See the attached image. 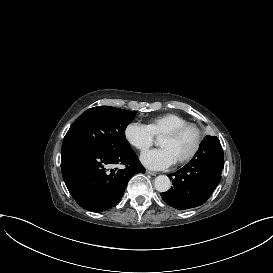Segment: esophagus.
I'll list each match as a JSON object with an SVG mask.
<instances>
[{"label":"esophagus","mask_w":273,"mask_h":273,"mask_svg":"<svg viewBox=\"0 0 273 273\" xmlns=\"http://www.w3.org/2000/svg\"><path fill=\"white\" fill-rule=\"evenodd\" d=\"M146 174L151 175V176H156L158 173L154 172V171L146 170Z\"/></svg>","instance_id":"obj_1"}]
</instances>
